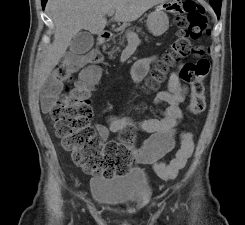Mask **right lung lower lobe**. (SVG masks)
<instances>
[{
    "mask_svg": "<svg viewBox=\"0 0 245 225\" xmlns=\"http://www.w3.org/2000/svg\"><path fill=\"white\" fill-rule=\"evenodd\" d=\"M41 2H42V7H43V9H44L47 0H41Z\"/></svg>",
    "mask_w": 245,
    "mask_h": 225,
    "instance_id": "98d812e1",
    "label": "right lung lower lobe"
}]
</instances>
